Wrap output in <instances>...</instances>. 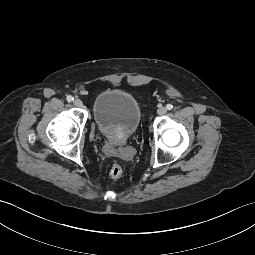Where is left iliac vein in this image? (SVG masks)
I'll return each mask as SVG.
<instances>
[{"instance_id": "1", "label": "left iliac vein", "mask_w": 255, "mask_h": 255, "mask_svg": "<svg viewBox=\"0 0 255 255\" xmlns=\"http://www.w3.org/2000/svg\"><path fill=\"white\" fill-rule=\"evenodd\" d=\"M157 113L160 116L165 115L167 113V109L165 107H160V108H158Z\"/></svg>"}]
</instances>
